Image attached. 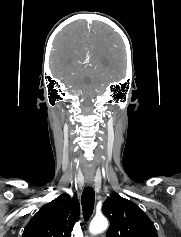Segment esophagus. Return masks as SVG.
Masks as SVG:
<instances>
[{
  "mask_svg": "<svg viewBox=\"0 0 181 237\" xmlns=\"http://www.w3.org/2000/svg\"><path fill=\"white\" fill-rule=\"evenodd\" d=\"M86 182H87L88 185L91 186L93 184V179L92 178H88V179H86Z\"/></svg>",
  "mask_w": 181,
  "mask_h": 237,
  "instance_id": "1",
  "label": "esophagus"
}]
</instances>
